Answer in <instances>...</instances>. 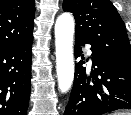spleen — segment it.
<instances>
[{
  "instance_id": "1",
  "label": "spleen",
  "mask_w": 131,
  "mask_h": 115,
  "mask_svg": "<svg viewBox=\"0 0 131 115\" xmlns=\"http://www.w3.org/2000/svg\"><path fill=\"white\" fill-rule=\"evenodd\" d=\"M113 115H131V113H127V112H118V113H115Z\"/></svg>"
}]
</instances>
